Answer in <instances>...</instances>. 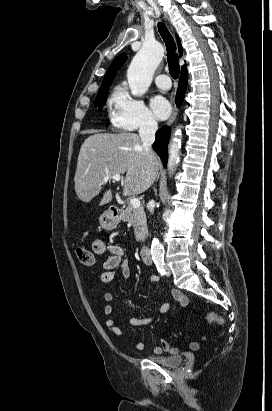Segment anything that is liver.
I'll return each instance as SVG.
<instances>
[{"mask_svg":"<svg viewBox=\"0 0 272 411\" xmlns=\"http://www.w3.org/2000/svg\"><path fill=\"white\" fill-rule=\"evenodd\" d=\"M159 169L157 157L149 158L135 133H96L81 146L74 177L75 191L80 200L90 202L97 196L107 174H124L123 195H137L146 191L155 180ZM112 191L104 193L99 205L112 200Z\"/></svg>","mask_w":272,"mask_h":411,"instance_id":"liver-1","label":"liver"}]
</instances>
